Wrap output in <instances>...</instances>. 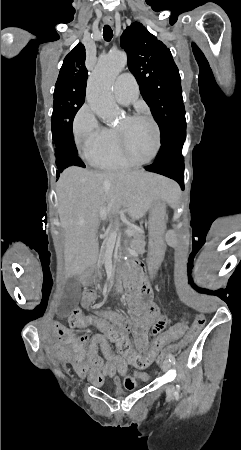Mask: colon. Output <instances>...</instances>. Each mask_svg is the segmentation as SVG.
I'll list each match as a JSON object with an SVG mask.
<instances>
[{
  "mask_svg": "<svg viewBox=\"0 0 241 450\" xmlns=\"http://www.w3.org/2000/svg\"><path fill=\"white\" fill-rule=\"evenodd\" d=\"M183 310V309H181ZM187 317V316H185ZM185 322V321H184ZM183 321H175L173 324H168L164 331H159L158 336L152 340L149 345L150 350L144 351L142 355L137 356L133 346L127 343L126 338L121 334V331L115 327L109 320L100 314L83 315L80 309H75L70 316L68 326L70 328H98L102 333L110 339L117 351L126 357L128 366H137L138 371H149L152 365V356H156V362H162L166 355L165 351H160L159 355H154V352L159 350L161 345L168 340L169 337H174L178 330H183L185 327ZM205 324V318L201 315L196 316L186 336L181 339L174 346L171 344L165 345V350L171 353H179L184 347L190 344L196 335L201 331Z\"/></svg>",
  "mask_w": 241,
  "mask_h": 450,
  "instance_id": "5ec220e1",
  "label": "colon"
}]
</instances>
